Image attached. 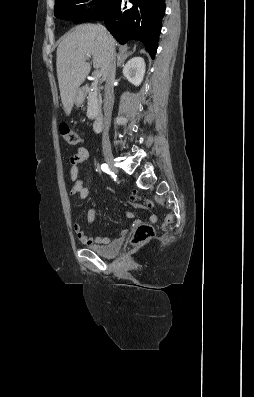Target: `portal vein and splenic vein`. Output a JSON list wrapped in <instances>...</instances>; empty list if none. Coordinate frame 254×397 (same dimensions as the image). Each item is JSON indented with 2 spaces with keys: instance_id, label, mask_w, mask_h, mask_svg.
Returning <instances> with one entry per match:
<instances>
[{
  "instance_id": "portal-vein-and-splenic-vein-1",
  "label": "portal vein and splenic vein",
  "mask_w": 254,
  "mask_h": 397,
  "mask_svg": "<svg viewBox=\"0 0 254 397\" xmlns=\"http://www.w3.org/2000/svg\"><path fill=\"white\" fill-rule=\"evenodd\" d=\"M93 75H94V79H98L101 77L102 73L100 71L96 70V71H94Z\"/></svg>"
}]
</instances>
